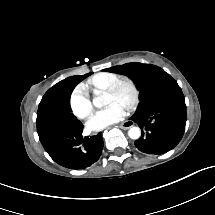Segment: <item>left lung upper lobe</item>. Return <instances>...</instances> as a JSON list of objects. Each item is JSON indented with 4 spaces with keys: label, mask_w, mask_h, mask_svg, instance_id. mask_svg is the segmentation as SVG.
Here are the masks:
<instances>
[{
    "label": "left lung upper lobe",
    "mask_w": 215,
    "mask_h": 215,
    "mask_svg": "<svg viewBox=\"0 0 215 215\" xmlns=\"http://www.w3.org/2000/svg\"><path fill=\"white\" fill-rule=\"evenodd\" d=\"M130 75L141 90V102L131 120L144 131L135 146L148 154H163L182 139L186 124L184 95L177 82L161 68L129 63L106 69Z\"/></svg>",
    "instance_id": "left-lung-upper-lobe-1"
}]
</instances>
